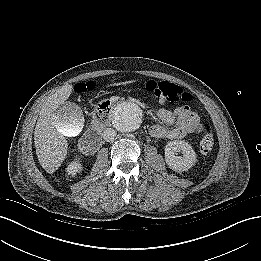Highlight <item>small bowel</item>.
<instances>
[{"label": "small bowel", "instance_id": "obj_1", "mask_svg": "<svg viewBox=\"0 0 261 261\" xmlns=\"http://www.w3.org/2000/svg\"><path fill=\"white\" fill-rule=\"evenodd\" d=\"M156 114L167 126L153 125L150 128L151 136L156 138L180 139L203 128L199 115L188 106H180L174 111L161 108Z\"/></svg>", "mask_w": 261, "mask_h": 261}]
</instances>
